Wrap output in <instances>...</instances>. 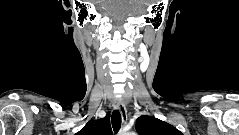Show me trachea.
Here are the masks:
<instances>
[{
  "mask_svg": "<svg viewBox=\"0 0 239 135\" xmlns=\"http://www.w3.org/2000/svg\"><path fill=\"white\" fill-rule=\"evenodd\" d=\"M111 122L114 132L117 133L121 127V114L118 110L112 112Z\"/></svg>",
  "mask_w": 239,
  "mask_h": 135,
  "instance_id": "3493384b",
  "label": "trachea"
}]
</instances>
